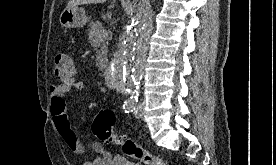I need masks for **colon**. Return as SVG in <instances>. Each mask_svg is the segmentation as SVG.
Segmentation results:
<instances>
[{
    "instance_id": "1",
    "label": "colon",
    "mask_w": 276,
    "mask_h": 165,
    "mask_svg": "<svg viewBox=\"0 0 276 165\" xmlns=\"http://www.w3.org/2000/svg\"><path fill=\"white\" fill-rule=\"evenodd\" d=\"M75 72V64L68 53L61 52L56 55L54 73L58 79L64 81L73 78ZM114 123L115 115L113 111L109 109L99 111L92 125L94 135L101 141L120 146L128 157L141 161L146 165H165L162 158L143 149L131 138L116 133Z\"/></svg>"
}]
</instances>
